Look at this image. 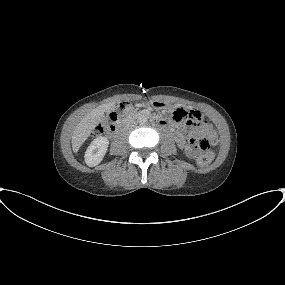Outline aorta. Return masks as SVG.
<instances>
[{
    "label": "aorta",
    "instance_id": "obj_1",
    "mask_svg": "<svg viewBox=\"0 0 285 285\" xmlns=\"http://www.w3.org/2000/svg\"><path fill=\"white\" fill-rule=\"evenodd\" d=\"M148 118L146 115L142 114L138 117L139 124H145L147 122Z\"/></svg>",
    "mask_w": 285,
    "mask_h": 285
}]
</instances>
